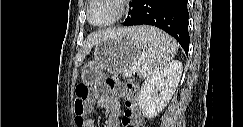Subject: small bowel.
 <instances>
[{"mask_svg": "<svg viewBox=\"0 0 243 127\" xmlns=\"http://www.w3.org/2000/svg\"><path fill=\"white\" fill-rule=\"evenodd\" d=\"M97 107L109 111L107 118V127H119V118L121 115V105L120 102L111 97L107 96L104 98H99L97 100ZM84 127H95V121L92 118H89Z\"/></svg>", "mask_w": 243, "mask_h": 127, "instance_id": "small-bowel-1", "label": "small bowel"}]
</instances>
